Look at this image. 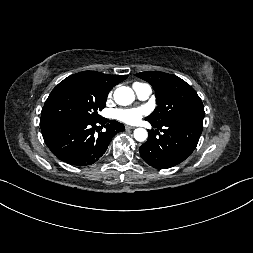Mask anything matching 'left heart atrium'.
Masks as SVG:
<instances>
[{"mask_svg":"<svg viewBox=\"0 0 253 253\" xmlns=\"http://www.w3.org/2000/svg\"><path fill=\"white\" fill-rule=\"evenodd\" d=\"M146 114L144 108L117 109L114 113L116 119L124 123H136Z\"/></svg>","mask_w":253,"mask_h":253,"instance_id":"obj_1","label":"left heart atrium"}]
</instances>
